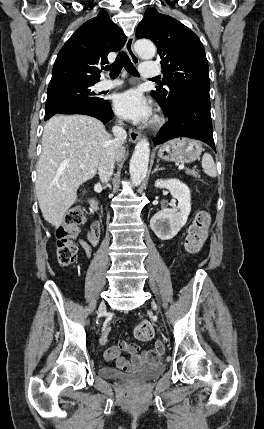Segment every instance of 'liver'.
<instances>
[{
    "label": "liver",
    "mask_w": 264,
    "mask_h": 429,
    "mask_svg": "<svg viewBox=\"0 0 264 429\" xmlns=\"http://www.w3.org/2000/svg\"><path fill=\"white\" fill-rule=\"evenodd\" d=\"M110 141L105 126L86 115L54 116L44 126L35 190L44 219L54 227L75 203L79 186L96 175ZM124 157L122 147L117 160Z\"/></svg>",
    "instance_id": "obj_1"
}]
</instances>
